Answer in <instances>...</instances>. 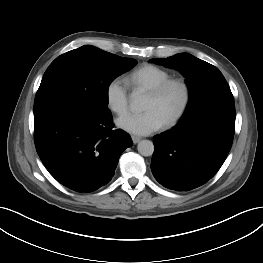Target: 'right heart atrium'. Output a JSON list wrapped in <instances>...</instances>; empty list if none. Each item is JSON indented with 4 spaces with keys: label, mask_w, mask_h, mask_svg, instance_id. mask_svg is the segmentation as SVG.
<instances>
[{
    "label": "right heart atrium",
    "mask_w": 263,
    "mask_h": 263,
    "mask_svg": "<svg viewBox=\"0 0 263 263\" xmlns=\"http://www.w3.org/2000/svg\"><path fill=\"white\" fill-rule=\"evenodd\" d=\"M107 107L115 114L121 115L128 108V92L124 81L119 77L112 78L105 88Z\"/></svg>",
    "instance_id": "right-heart-atrium-1"
}]
</instances>
